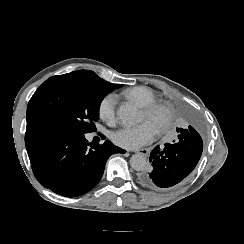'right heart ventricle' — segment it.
Segmentation results:
<instances>
[{
	"label": "right heart ventricle",
	"mask_w": 244,
	"mask_h": 244,
	"mask_svg": "<svg viewBox=\"0 0 244 244\" xmlns=\"http://www.w3.org/2000/svg\"><path fill=\"white\" fill-rule=\"evenodd\" d=\"M121 95L136 101L140 106H147L156 103L154 93L147 87L139 86L126 89L121 92Z\"/></svg>",
	"instance_id": "obj_1"
}]
</instances>
